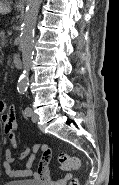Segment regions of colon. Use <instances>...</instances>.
I'll return each mask as SVG.
<instances>
[{
	"instance_id": "5ec220e1",
	"label": "colon",
	"mask_w": 119,
	"mask_h": 185,
	"mask_svg": "<svg viewBox=\"0 0 119 185\" xmlns=\"http://www.w3.org/2000/svg\"><path fill=\"white\" fill-rule=\"evenodd\" d=\"M58 162L62 167L74 170H77L80 167V160L77 157L69 156L67 154H60L58 156ZM68 185H79V182L77 179H71Z\"/></svg>"
}]
</instances>
